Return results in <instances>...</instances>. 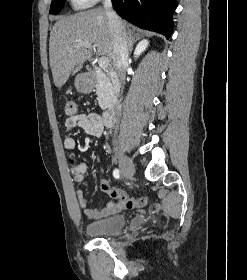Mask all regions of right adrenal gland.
<instances>
[{
	"mask_svg": "<svg viewBox=\"0 0 247 280\" xmlns=\"http://www.w3.org/2000/svg\"><path fill=\"white\" fill-rule=\"evenodd\" d=\"M139 36L134 33H129V41H128V53L131 54L133 51V45L139 40Z\"/></svg>",
	"mask_w": 247,
	"mask_h": 280,
	"instance_id": "1",
	"label": "right adrenal gland"
}]
</instances>
